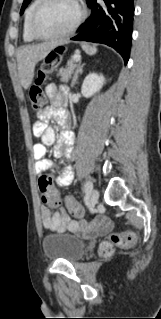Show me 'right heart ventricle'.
I'll return each mask as SVG.
<instances>
[{"label":"right heart ventricle","instance_id":"1","mask_svg":"<svg viewBox=\"0 0 161 319\" xmlns=\"http://www.w3.org/2000/svg\"><path fill=\"white\" fill-rule=\"evenodd\" d=\"M39 0H33L30 5L28 6V8L26 9L25 15H24V22H23V39L24 41L27 42H31L33 41L35 38L32 36V34L30 33V28H29V24H30V18L31 15L36 7V5L38 4Z\"/></svg>","mask_w":161,"mask_h":319}]
</instances>
